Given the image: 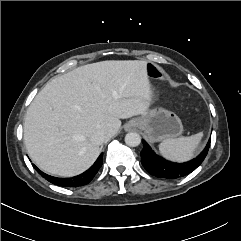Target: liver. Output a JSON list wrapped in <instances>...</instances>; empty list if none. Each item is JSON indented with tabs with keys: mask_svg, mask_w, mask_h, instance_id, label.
I'll return each instance as SVG.
<instances>
[{
	"mask_svg": "<svg viewBox=\"0 0 241 241\" xmlns=\"http://www.w3.org/2000/svg\"><path fill=\"white\" fill-rule=\"evenodd\" d=\"M146 64L107 60L51 79L25 116L24 143L33 163L61 177L87 170L100 154L91 135L103 131L109 140L118 133L120 119L144 114L151 105Z\"/></svg>",
	"mask_w": 241,
	"mask_h": 241,
	"instance_id": "6515ba94",
	"label": "liver"
}]
</instances>
